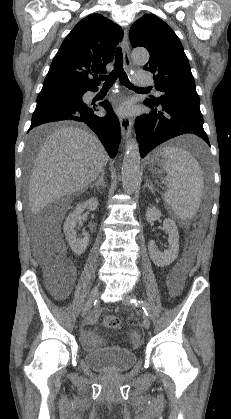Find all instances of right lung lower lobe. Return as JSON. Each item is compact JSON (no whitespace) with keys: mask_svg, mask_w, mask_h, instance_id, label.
Returning <instances> with one entry per match:
<instances>
[{"mask_svg":"<svg viewBox=\"0 0 231 419\" xmlns=\"http://www.w3.org/2000/svg\"><path fill=\"white\" fill-rule=\"evenodd\" d=\"M97 88L82 89L78 100L53 99L37 102L29 130L42 123L59 120H76L85 122L99 137L110 157H115L120 143V125L107 101L100 103L109 116L99 117L95 114V105L84 103L83 94Z\"/></svg>","mask_w":231,"mask_h":419,"instance_id":"right-lung-lower-lobe-1","label":"right lung lower lobe"}]
</instances>
